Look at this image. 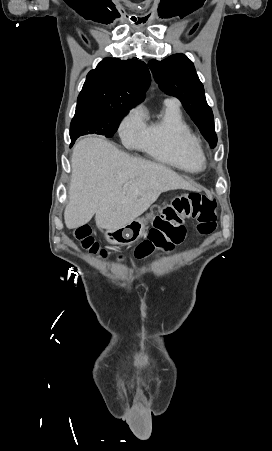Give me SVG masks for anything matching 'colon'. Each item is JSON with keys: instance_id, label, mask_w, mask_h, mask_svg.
<instances>
[{"instance_id": "1", "label": "colon", "mask_w": 272, "mask_h": 451, "mask_svg": "<svg viewBox=\"0 0 272 451\" xmlns=\"http://www.w3.org/2000/svg\"><path fill=\"white\" fill-rule=\"evenodd\" d=\"M185 221L195 222L201 234L212 233L217 226L216 204L213 196L202 192H190L171 199L163 206L162 212L154 218V228L149 231L148 239L136 247L135 257L141 260L148 258L154 252H157L159 257L172 252L176 243L181 242L184 236L182 226ZM73 236L81 242L84 249L92 254L102 249L94 240L88 226L77 227ZM98 259L104 261L106 256L100 254ZM125 259L126 256L122 253L114 255L116 262H122Z\"/></svg>"}]
</instances>
